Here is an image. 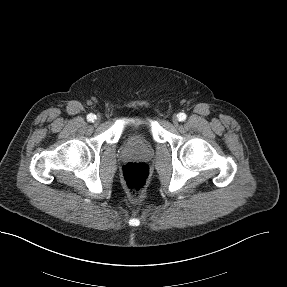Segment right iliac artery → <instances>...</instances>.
I'll return each instance as SVG.
<instances>
[{
  "label": "right iliac artery",
  "instance_id": "1",
  "mask_svg": "<svg viewBox=\"0 0 287 287\" xmlns=\"http://www.w3.org/2000/svg\"><path fill=\"white\" fill-rule=\"evenodd\" d=\"M95 119H96V115H94V114L87 115V120L89 122H94Z\"/></svg>",
  "mask_w": 287,
  "mask_h": 287
}]
</instances>
